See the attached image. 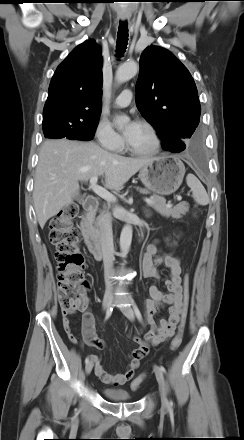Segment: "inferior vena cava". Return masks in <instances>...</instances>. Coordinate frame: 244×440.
Returning a JSON list of instances; mask_svg holds the SVG:
<instances>
[{"label":"inferior vena cava","mask_w":244,"mask_h":440,"mask_svg":"<svg viewBox=\"0 0 244 440\" xmlns=\"http://www.w3.org/2000/svg\"><path fill=\"white\" fill-rule=\"evenodd\" d=\"M100 242L103 255L106 289L111 290L113 284L110 280V277L112 275L113 262L115 258L111 220L110 217L106 214L102 215L101 217Z\"/></svg>","instance_id":"602c4592"}]
</instances>
